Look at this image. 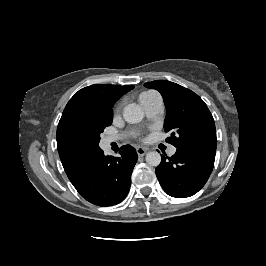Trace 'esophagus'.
Instances as JSON below:
<instances>
[{"mask_svg": "<svg viewBox=\"0 0 266 266\" xmlns=\"http://www.w3.org/2000/svg\"><path fill=\"white\" fill-rule=\"evenodd\" d=\"M136 152L139 157H143L147 153V149L144 147H137Z\"/></svg>", "mask_w": 266, "mask_h": 266, "instance_id": "1", "label": "esophagus"}]
</instances>
